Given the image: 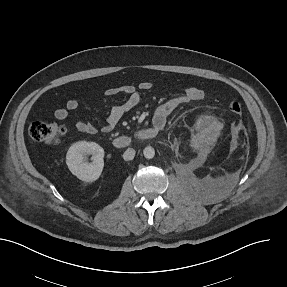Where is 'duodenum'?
Returning <instances> with one entry per match:
<instances>
[{"label":"duodenum","instance_id":"410a0bca","mask_svg":"<svg viewBox=\"0 0 287 287\" xmlns=\"http://www.w3.org/2000/svg\"><path fill=\"white\" fill-rule=\"evenodd\" d=\"M159 129L157 127H147L136 131L131 136H120L113 140V145L116 148H125L129 146L135 140H151L158 134Z\"/></svg>","mask_w":287,"mask_h":287}]
</instances>
